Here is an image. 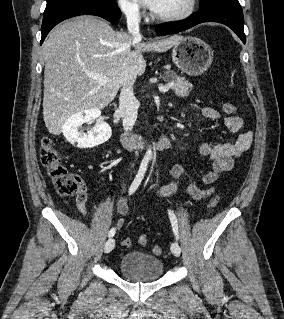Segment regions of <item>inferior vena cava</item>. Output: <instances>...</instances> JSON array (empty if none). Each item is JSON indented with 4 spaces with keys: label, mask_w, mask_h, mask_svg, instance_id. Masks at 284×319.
<instances>
[{
    "label": "inferior vena cava",
    "mask_w": 284,
    "mask_h": 319,
    "mask_svg": "<svg viewBox=\"0 0 284 319\" xmlns=\"http://www.w3.org/2000/svg\"><path fill=\"white\" fill-rule=\"evenodd\" d=\"M128 32L135 38L140 37V17L136 9L126 11ZM139 102L133 93V84H127L121 89L119 96L118 112L123 117L124 130L131 131L135 125L138 114Z\"/></svg>",
    "instance_id": "inferior-vena-cava-1"
}]
</instances>
